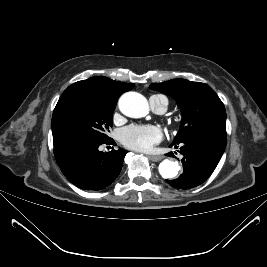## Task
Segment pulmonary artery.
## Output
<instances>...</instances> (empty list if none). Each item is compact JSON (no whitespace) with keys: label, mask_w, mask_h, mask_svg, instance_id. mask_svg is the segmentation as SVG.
Instances as JSON below:
<instances>
[{"label":"pulmonary artery","mask_w":267,"mask_h":267,"mask_svg":"<svg viewBox=\"0 0 267 267\" xmlns=\"http://www.w3.org/2000/svg\"><path fill=\"white\" fill-rule=\"evenodd\" d=\"M151 108L159 114H162L166 111V107H167V98L163 95H154L151 96L149 99Z\"/></svg>","instance_id":"obj_1"}]
</instances>
